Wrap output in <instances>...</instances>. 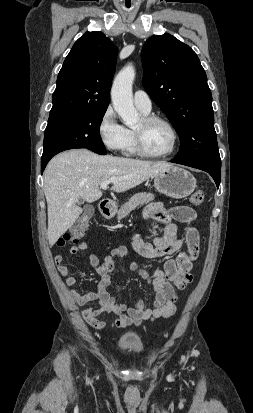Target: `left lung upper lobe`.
<instances>
[{
    "mask_svg": "<svg viewBox=\"0 0 253 413\" xmlns=\"http://www.w3.org/2000/svg\"><path fill=\"white\" fill-rule=\"evenodd\" d=\"M142 84L178 132L182 162L221 163L212 95L196 53L174 36L154 35L144 44Z\"/></svg>",
    "mask_w": 253,
    "mask_h": 413,
    "instance_id": "left-lung-upper-lobe-1",
    "label": "left lung upper lobe"
}]
</instances>
